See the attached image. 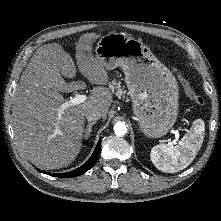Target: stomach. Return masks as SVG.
I'll return each instance as SVG.
<instances>
[{
    "label": "stomach",
    "instance_id": "obj_1",
    "mask_svg": "<svg viewBox=\"0 0 221 221\" xmlns=\"http://www.w3.org/2000/svg\"><path fill=\"white\" fill-rule=\"evenodd\" d=\"M95 56L107 70L122 68L133 113L142 132L159 138L173 127L178 116V83L142 41L112 32L96 44Z\"/></svg>",
    "mask_w": 221,
    "mask_h": 221
}]
</instances>
